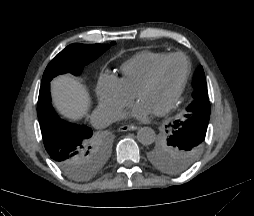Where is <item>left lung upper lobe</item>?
<instances>
[{
	"label": "left lung upper lobe",
	"instance_id": "left-lung-upper-lobe-1",
	"mask_svg": "<svg viewBox=\"0 0 254 216\" xmlns=\"http://www.w3.org/2000/svg\"><path fill=\"white\" fill-rule=\"evenodd\" d=\"M193 101L182 119L170 123L168 137L148 152L150 162L163 172L180 173L189 168L201 152L210 117V102L202 66L194 75Z\"/></svg>",
	"mask_w": 254,
	"mask_h": 216
}]
</instances>
